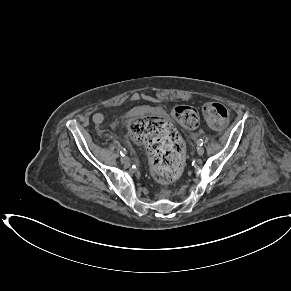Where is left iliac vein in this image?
Listing matches in <instances>:
<instances>
[{
	"mask_svg": "<svg viewBox=\"0 0 291 291\" xmlns=\"http://www.w3.org/2000/svg\"><path fill=\"white\" fill-rule=\"evenodd\" d=\"M204 152H205V150H204L203 147H198V148H197V154H198L199 156H202V155L204 154Z\"/></svg>",
	"mask_w": 291,
	"mask_h": 291,
	"instance_id": "4c4485c4",
	"label": "left iliac vein"
}]
</instances>
